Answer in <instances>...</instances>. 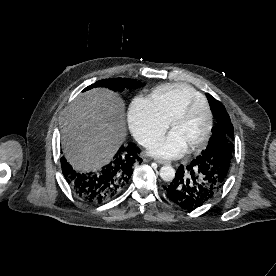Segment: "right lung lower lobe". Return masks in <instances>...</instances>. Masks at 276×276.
<instances>
[{
	"mask_svg": "<svg viewBox=\"0 0 276 276\" xmlns=\"http://www.w3.org/2000/svg\"><path fill=\"white\" fill-rule=\"evenodd\" d=\"M139 154L140 149L134 143L121 146L109 164L99 171L89 173L75 171L62 157V172L80 198L98 204L112 199L127 186L133 166L142 161Z\"/></svg>",
	"mask_w": 276,
	"mask_h": 276,
	"instance_id": "1",
	"label": "right lung lower lobe"
}]
</instances>
